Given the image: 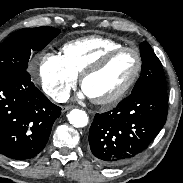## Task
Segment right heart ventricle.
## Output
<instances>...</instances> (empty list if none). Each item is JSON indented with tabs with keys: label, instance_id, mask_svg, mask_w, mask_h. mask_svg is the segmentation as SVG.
<instances>
[{
	"label": "right heart ventricle",
	"instance_id": "e07e8e85",
	"mask_svg": "<svg viewBox=\"0 0 183 183\" xmlns=\"http://www.w3.org/2000/svg\"><path fill=\"white\" fill-rule=\"evenodd\" d=\"M122 46L114 39L93 35L66 43L63 58L67 66L77 75L96 62L109 50Z\"/></svg>",
	"mask_w": 183,
	"mask_h": 183
}]
</instances>
